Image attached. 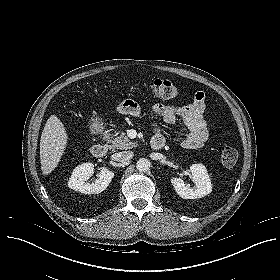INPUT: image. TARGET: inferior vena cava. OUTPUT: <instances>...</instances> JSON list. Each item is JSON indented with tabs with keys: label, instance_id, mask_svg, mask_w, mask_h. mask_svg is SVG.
I'll use <instances>...</instances> for the list:
<instances>
[{
	"label": "inferior vena cava",
	"instance_id": "obj_1",
	"mask_svg": "<svg viewBox=\"0 0 280 280\" xmlns=\"http://www.w3.org/2000/svg\"><path fill=\"white\" fill-rule=\"evenodd\" d=\"M134 153L132 151H123L116 154V159L120 162H127L132 159Z\"/></svg>",
	"mask_w": 280,
	"mask_h": 280
}]
</instances>
